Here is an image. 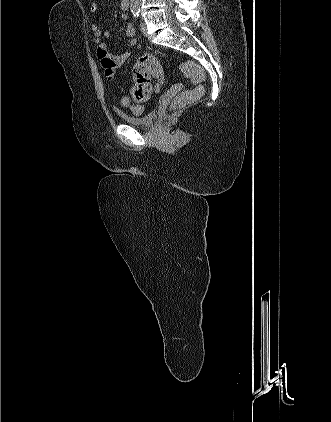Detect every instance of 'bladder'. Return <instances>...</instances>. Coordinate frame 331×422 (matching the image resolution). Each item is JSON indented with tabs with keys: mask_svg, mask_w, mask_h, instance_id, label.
Returning <instances> with one entry per match:
<instances>
[{
	"mask_svg": "<svg viewBox=\"0 0 331 422\" xmlns=\"http://www.w3.org/2000/svg\"><path fill=\"white\" fill-rule=\"evenodd\" d=\"M119 117L126 124L139 127H151L157 119V112L152 110L141 116H132L125 113H119Z\"/></svg>",
	"mask_w": 331,
	"mask_h": 422,
	"instance_id": "bladder-1",
	"label": "bladder"
}]
</instances>
